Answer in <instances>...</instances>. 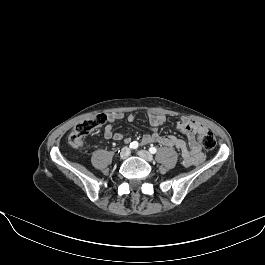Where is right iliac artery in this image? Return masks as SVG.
Masks as SVG:
<instances>
[{
  "label": "right iliac artery",
  "mask_w": 265,
  "mask_h": 265,
  "mask_svg": "<svg viewBox=\"0 0 265 265\" xmlns=\"http://www.w3.org/2000/svg\"><path fill=\"white\" fill-rule=\"evenodd\" d=\"M129 147L131 149H136L138 147V142L137 141H133L130 143Z\"/></svg>",
  "instance_id": "1"
}]
</instances>
